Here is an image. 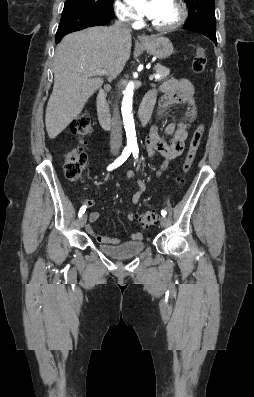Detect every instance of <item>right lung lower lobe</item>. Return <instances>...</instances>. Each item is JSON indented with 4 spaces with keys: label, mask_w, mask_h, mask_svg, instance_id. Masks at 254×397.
<instances>
[{
    "label": "right lung lower lobe",
    "mask_w": 254,
    "mask_h": 397,
    "mask_svg": "<svg viewBox=\"0 0 254 397\" xmlns=\"http://www.w3.org/2000/svg\"><path fill=\"white\" fill-rule=\"evenodd\" d=\"M114 13H93L73 5H64L61 21L56 33V43L71 32L87 27L106 25L113 18Z\"/></svg>",
    "instance_id": "right-lung-lower-lobe-1"
}]
</instances>
